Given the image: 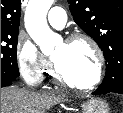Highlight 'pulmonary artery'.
I'll list each match as a JSON object with an SVG mask.
<instances>
[{"instance_id":"obj_1","label":"pulmonary artery","mask_w":123,"mask_h":113,"mask_svg":"<svg viewBox=\"0 0 123 113\" xmlns=\"http://www.w3.org/2000/svg\"><path fill=\"white\" fill-rule=\"evenodd\" d=\"M48 22L55 28H63L67 21V15L63 8L52 7L47 16Z\"/></svg>"}]
</instances>
